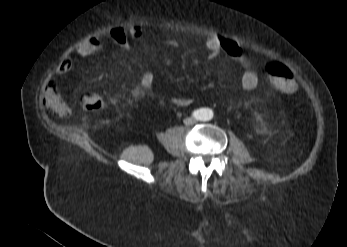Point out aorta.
<instances>
[{"label": "aorta", "mask_w": 347, "mask_h": 247, "mask_svg": "<svg viewBox=\"0 0 347 247\" xmlns=\"http://www.w3.org/2000/svg\"><path fill=\"white\" fill-rule=\"evenodd\" d=\"M213 117V114L210 110L204 109L201 112V118L205 121L210 120Z\"/></svg>", "instance_id": "762f6f07"}]
</instances>
